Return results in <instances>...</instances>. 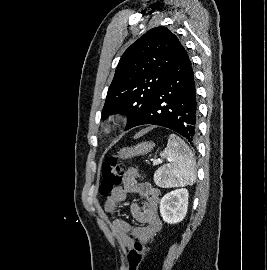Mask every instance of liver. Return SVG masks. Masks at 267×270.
<instances>
[{"mask_svg": "<svg viewBox=\"0 0 267 270\" xmlns=\"http://www.w3.org/2000/svg\"><path fill=\"white\" fill-rule=\"evenodd\" d=\"M143 133H144V132H140V133H138L136 137L141 136Z\"/></svg>", "mask_w": 267, "mask_h": 270, "instance_id": "6515ba94", "label": "liver"}]
</instances>
